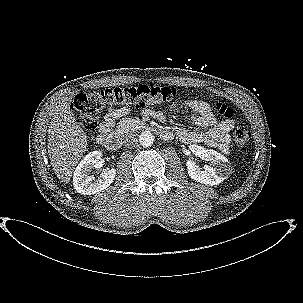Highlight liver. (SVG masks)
<instances>
[{"instance_id": "obj_1", "label": "liver", "mask_w": 303, "mask_h": 303, "mask_svg": "<svg viewBox=\"0 0 303 303\" xmlns=\"http://www.w3.org/2000/svg\"><path fill=\"white\" fill-rule=\"evenodd\" d=\"M72 96L59 101L48 129V153L60 182L67 184L87 147V136L70 110Z\"/></svg>"}]
</instances>
